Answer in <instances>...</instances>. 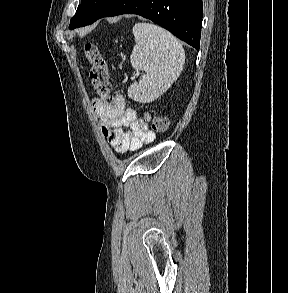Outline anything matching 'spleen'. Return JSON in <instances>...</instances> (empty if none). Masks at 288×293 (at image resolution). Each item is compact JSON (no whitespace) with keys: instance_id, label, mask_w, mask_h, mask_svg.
Returning a JSON list of instances; mask_svg holds the SVG:
<instances>
[{"instance_id":"1","label":"spleen","mask_w":288,"mask_h":293,"mask_svg":"<svg viewBox=\"0 0 288 293\" xmlns=\"http://www.w3.org/2000/svg\"><path fill=\"white\" fill-rule=\"evenodd\" d=\"M133 34L136 45L130 56L131 65L146 75L128 88V96L151 102L177 80L185 63V52L170 32L157 25L136 23Z\"/></svg>"}]
</instances>
